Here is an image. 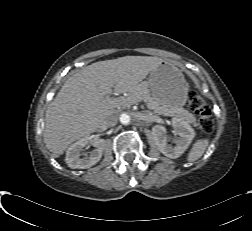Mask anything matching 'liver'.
I'll return each mask as SVG.
<instances>
[{
    "instance_id": "obj_1",
    "label": "liver",
    "mask_w": 252,
    "mask_h": 231,
    "mask_svg": "<svg viewBox=\"0 0 252 231\" xmlns=\"http://www.w3.org/2000/svg\"><path fill=\"white\" fill-rule=\"evenodd\" d=\"M162 62L159 57L125 56L95 62L73 74L46 110V147L59 156L71 143L98 130L120 105L104 101L112 88L116 93H133Z\"/></svg>"
}]
</instances>
